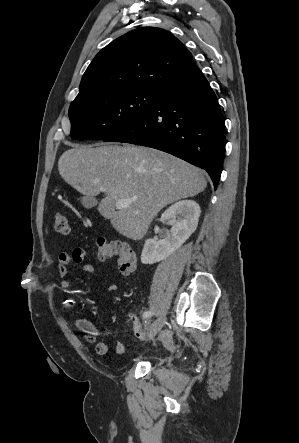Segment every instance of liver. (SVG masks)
<instances>
[{
  "label": "liver",
  "mask_w": 299,
  "mask_h": 443,
  "mask_svg": "<svg viewBox=\"0 0 299 443\" xmlns=\"http://www.w3.org/2000/svg\"><path fill=\"white\" fill-rule=\"evenodd\" d=\"M58 171L66 183L88 197L105 188L99 213L133 240L145 235L162 208L193 197L207 186L199 168L155 149L129 145H75L61 155ZM122 198L133 201L116 210Z\"/></svg>",
  "instance_id": "liver-1"
}]
</instances>
